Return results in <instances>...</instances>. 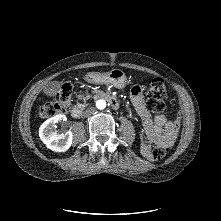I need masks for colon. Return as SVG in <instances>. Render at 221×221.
<instances>
[{
    "label": "colon",
    "instance_id": "1",
    "mask_svg": "<svg viewBox=\"0 0 221 221\" xmlns=\"http://www.w3.org/2000/svg\"><path fill=\"white\" fill-rule=\"evenodd\" d=\"M166 85L159 77H152L147 90V107L154 113H161L165 107ZM72 100V88L69 84L64 85L55 95L53 102L42 106L39 116L42 118L63 114L69 110ZM166 143L155 144L149 150L152 159H162L166 154Z\"/></svg>",
    "mask_w": 221,
    "mask_h": 221
}]
</instances>
